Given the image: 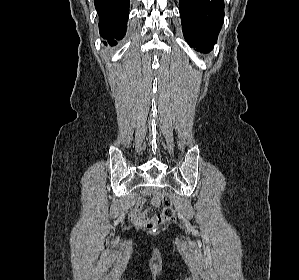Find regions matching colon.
<instances>
[{"label": "colon", "mask_w": 299, "mask_h": 280, "mask_svg": "<svg viewBox=\"0 0 299 280\" xmlns=\"http://www.w3.org/2000/svg\"><path fill=\"white\" fill-rule=\"evenodd\" d=\"M153 203L158 206L161 211L159 214L150 218L146 225L150 230L156 231L161 225L175 220V211L169 200L161 194L154 197Z\"/></svg>", "instance_id": "obj_1"}]
</instances>
